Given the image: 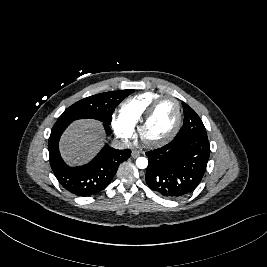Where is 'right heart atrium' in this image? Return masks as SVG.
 <instances>
[{
	"mask_svg": "<svg viewBox=\"0 0 267 267\" xmlns=\"http://www.w3.org/2000/svg\"><path fill=\"white\" fill-rule=\"evenodd\" d=\"M112 126L116 135L122 140H128L133 133V128L130 127L119 114L112 116Z\"/></svg>",
	"mask_w": 267,
	"mask_h": 267,
	"instance_id": "obj_1",
	"label": "right heart atrium"
}]
</instances>
